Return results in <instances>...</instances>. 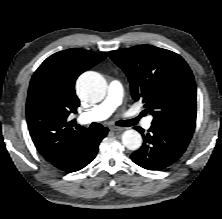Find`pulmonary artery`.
I'll return each instance as SVG.
<instances>
[{
	"label": "pulmonary artery",
	"instance_id": "obj_1",
	"mask_svg": "<svg viewBox=\"0 0 222 219\" xmlns=\"http://www.w3.org/2000/svg\"><path fill=\"white\" fill-rule=\"evenodd\" d=\"M123 87L120 81L113 80L109 84L108 95L106 99L90 110L79 116V120L82 123H90L94 121H102L108 118L118 106L122 103ZM151 126V118L144 121V127L149 128Z\"/></svg>",
	"mask_w": 222,
	"mask_h": 219
}]
</instances>
